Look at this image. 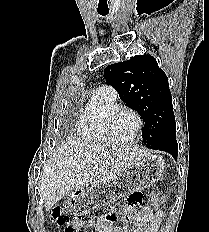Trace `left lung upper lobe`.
Instances as JSON below:
<instances>
[{
  "mask_svg": "<svg viewBox=\"0 0 209 232\" xmlns=\"http://www.w3.org/2000/svg\"><path fill=\"white\" fill-rule=\"evenodd\" d=\"M104 75L120 99L145 121L142 138L146 147L160 150L162 143L176 136V124L168 78L150 55L107 66Z\"/></svg>",
  "mask_w": 209,
  "mask_h": 232,
  "instance_id": "5c2ea615",
  "label": "left lung upper lobe"
}]
</instances>
